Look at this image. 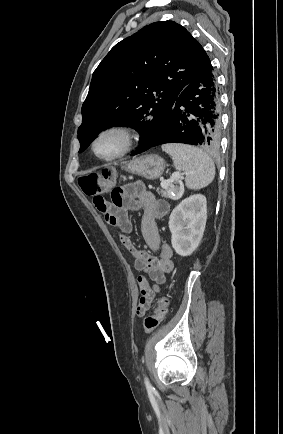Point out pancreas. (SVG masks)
I'll return each instance as SVG.
<instances>
[{
  "label": "pancreas",
  "mask_w": 283,
  "mask_h": 434,
  "mask_svg": "<svg viewBox=\"0 0 283 434\" xmlns=\"http://www.w3.org/2000/svg\"><path fill=\"white\" fill-rule=\"evenodd\" d=\"M163 188V187H162ZM158 194H160L162 197L166 198V199H179L182 194H183V189L182 188H178V187H174V186H167L161 190H157ZM172 193H175V195L173 196Z\"/></svg>",
  "instance_id": "cf45deb5"
}]
</instances>
